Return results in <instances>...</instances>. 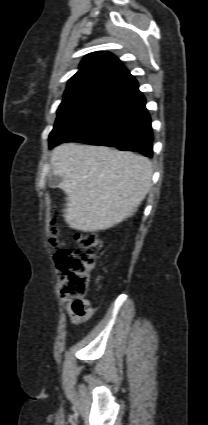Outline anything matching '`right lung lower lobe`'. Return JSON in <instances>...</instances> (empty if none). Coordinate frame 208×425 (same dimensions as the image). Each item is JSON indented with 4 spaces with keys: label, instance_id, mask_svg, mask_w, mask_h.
<instances>
[{
    "label": "right lung lower lobe",
    "instance_id": "98d812e1",
    "mask_svg": "<svg viewBox=\"0 0 208 425\" xmlns=\"http://www.w3.org/2000/svg\"><path fill=\"white\" fill-rule=\"evenodd\" d=\"M146 100L127 70L99 95L67 114L50 136L56 141H75L113 146L152 157L153 134Z\"/></svg>",
    "mask_w": 208,
    "mask_h": 425
}]
</instances>
